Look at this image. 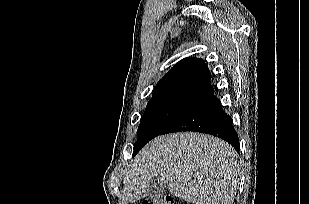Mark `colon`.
<instances>
[{
  "instance_id": "colon-1",
  "label": "colon",
  "mask_w": 309,
  "mask_h": 204,
  "mask_svg": "<svg viewBox=\"0 0 309 204\" xmlns=\"http://www.w3.org/2000/svg\"><path fill=\"white\" fill-rule=\"evenodd\" d=\"M142 204H174V200L171 196H164L161 198H148Z\"/></svg>"
}]
</instances>
